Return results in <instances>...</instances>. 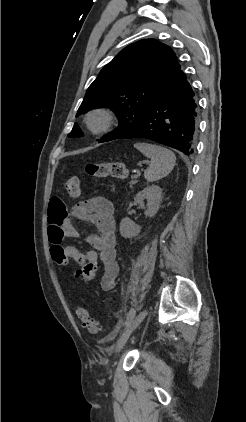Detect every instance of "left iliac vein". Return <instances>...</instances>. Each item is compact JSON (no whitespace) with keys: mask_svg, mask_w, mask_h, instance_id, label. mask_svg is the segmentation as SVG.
<instances>
[{"mask_svg":"<svg viewBox=\"0 0 246 422\" xmlns=\"http://www.w3.org/2000/svg\"><path fill=\"white\" fill-rule=\"evenodd\" d=\"M147 315V310L144 309L141 311L137 317L125 328L124 332L122 333L117 345H116V353H119L124 345L126 344L128 338L132 334V332L141 324V322L145 319Z\"/></svg>","mask_w":246,"mask_h":422,"instance_id":"obj_1","label":"left iliac vein"}]
</instances>
